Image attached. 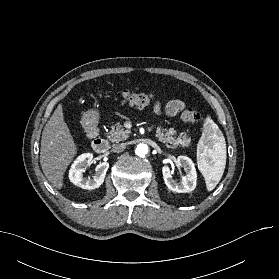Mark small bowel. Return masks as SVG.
Instances as JSON below:
<instances>
[{"instance_id": "c3829d8e", "label": "small bowel", "mask_w": 279, "mask_h": 279, "mask_svg": "<svg viewBox=\"0 0 279 279\" xmlns=\"http://www.w3.org/2000/svg\"><path fill=\"white\" fill-rule=\"evenodd\" d=\"M185 108V103L182 100L174 99L169 101L164 108L160 103L154 105V112L156 114L165 113L167 116L174 117Z\"/></svg>"}]
</instances>
